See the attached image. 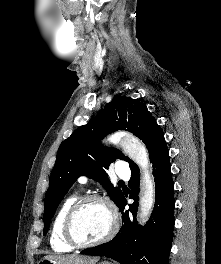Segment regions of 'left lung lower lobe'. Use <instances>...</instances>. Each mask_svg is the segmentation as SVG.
<instances>
[{"label": "left lung lower lobe", "instance_id": "left-lung-lower-lobe-1", "mask_svg": "<svg viewBox=\"0 0 221 264\" xmlns=\"http://www.w3.org/2000/svg\"><path fill=\"white\" fill-rule=\"evenodd\" d=\"M155 177L156 201L152 216L141 228L137 225L139 172L131 174L129 198L134 203L124 211L125 196L118 205L123 223L118 234L105 244L85 249L82 254L105 256L120 264H168L174 228V184L171 176L169 150L165 140L151 159Z\"/></svg>", "mask_w": 221, "mask_h": 264}]
</instances>
